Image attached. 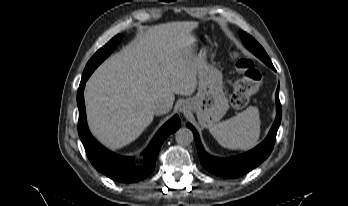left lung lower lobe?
Listing matches in <instances>:
<instances>
[{
	"label": "left lung lower lobe",
	"instance_id": "1",
	"mask_svg": "<svg viewBox=\"0 0 348 206\" xmlns=\"http://www.w3.org/2000/svg\"><path fill=\"white\" fill-rule=\"evenodd\" d=\"M276 102L277 117L267 138L253 150L232 158H216L206 154L200 146V140L196 129L191 124H187L193 131L202 166L215 175L237 178L263 162L273 149L277 130L281 121L282 109L278 97V89L276 92Z\"/></svg>",
	"mask_w": 348,
	"mask_h": 206
}]
</instances>
